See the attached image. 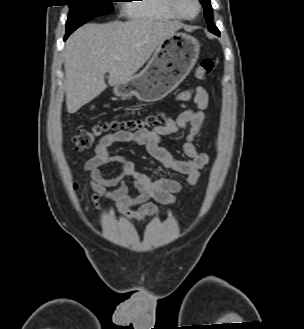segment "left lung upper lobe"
<instances>
[{
    "instance_id": "1",
    "label": "left lung upper lobe",
    "mask_w": 304,
    "mask_h": 329,
    "mask_svg": "<svg viewBox=\"0 0 304 329\" xmlns=\"http://www.w3.org/2000/svg\"><path fill=\"white\" fill-rule=\"evenodd\" d=\"M204 7V15L207 23L209 24V30L214 28L213 20V9L210 4V0H200Z\"/></svg>"
}]
</instances>
